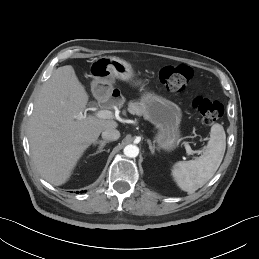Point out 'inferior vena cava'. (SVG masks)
Instances as JSON below:
<instances>
[{
	"label": "inferior vena cava",
	"instance_id": "1",
	"mask_svg": "<svg viewBox=\"0 0 259 259\" xmlns=\"http://www.w3.org/2000/svg\"><path fill=\"white\" fill-rule=\"evenodd\" d=\"M120 137V132L117 129H106L102 132V138L107 141H116Z\"/></svg>",
	"mask_w": 259,
	"mask_h": 259
}]
</instances>
